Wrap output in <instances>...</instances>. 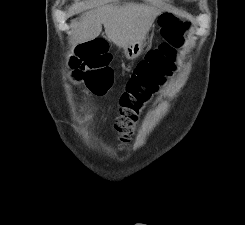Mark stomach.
I'll list each match as a JSON object with an SVG mask.
<instances>
[{"label":"stomach","instance_id":"obj_1","mask_svg":"<svg viewBox=\"0 0 245 225\" xmlns=\"http://www.w3.org/2000/svg\"><path fill=\"white\" fill-rule=\"evenodd\" d=\"M146 45V40L135 41L134 43L124 47V54L127 59L134 60L136 59L143 51V48Z\"/></svg>","mask_w":245,"mask_h":225}]
</instances>
